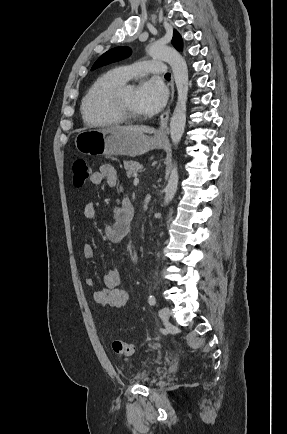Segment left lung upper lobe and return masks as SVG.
Here are the masks:
<instances>
[{
	"label": "left lung upper lobe",
	"instance_id": "obj_1",
	"mask_svg": "<svg viewBox=\"0 0 287 434\" xmlns=\"http://www.w3.org/2000/svg\"><path fill=\"white\" fill-rule=\"evenodd\" d=\"M172 44L174 47L178 50H182L183 42L180 34L175 30ZM131 54V50L129 47H116L113 48L107 52H105L103 55H101L98 60L94 63L91 70H94L98 67H101L103 65L119 61L121 59H124L128 57Z\"/></svg>",
	"mask_w": 287,
	"mask_h": 434
}]
</instances>
